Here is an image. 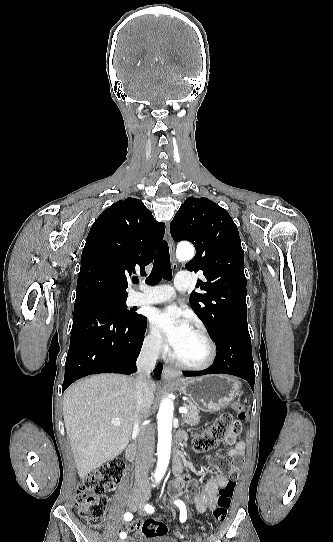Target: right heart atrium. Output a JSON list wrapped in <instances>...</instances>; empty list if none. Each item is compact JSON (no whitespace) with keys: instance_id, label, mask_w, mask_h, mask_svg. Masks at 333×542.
I'll return each mask as SVG.
<instances>
[{"instance_id":"right-heart-atrium-1","label":"right heart atrium","mask_w":333,"mask_h":542,"mask_svg":"<svg viewBox=\"0 0 333 542\" xmlns=\"http://www.w3.org/2000/svg\"><path fill=\"white\" fill-rule=\"evenodd\" d=\"M145 350L154 357L164 356L166 352V346L156 329L149 324L144 338Z\"/></svg>"}]
</instances>
